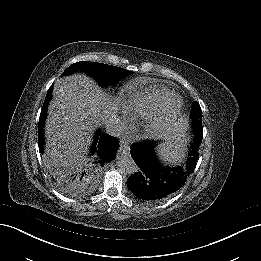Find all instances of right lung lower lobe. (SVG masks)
<instances>
[{"instance_id": "right-lung-lower-lobe-1", "label": "right lung lower lobe", "mask_w": 261, "mask_h": 261, "mask_svg": "<svg viewBox=\"0 0 261 261\" xmlns=\"http://www.w3.org/2000/svg\"><path fill=\"white\" fill-rule=\"evenodd\" d=\"M53 85L49 88L39 119V132H38V141H39V150L41 154L43 153V127L44 121L47 114V105L51 99ZM119 148V142L117 138L110 136L108 134H101L99 131L95 134L94 142L91 147V154L96 158V164L98 167L102 166L105 162L110 161L116 157V151Z\"/></svg>"}]
</instances>
